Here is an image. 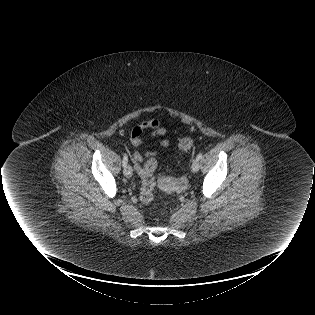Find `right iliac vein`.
I'll use <instances>...</instances> for the list:
<instances>
[{
    "label": "right iliac vein",
    "instance_id": "63e3f726",
    "mask_svg": "<svg viewBox=\"0 0 315 315\" xmlns=\"http://www.w3.org/2000/svg\"><path fill=\"white\" fill-rule=\"evenodd\" d=\"M132 174H133L132 167L130 165H126L124 168V175L127 178H130L132 176Z\"/></svg>",
    "mask_w": 315,
    "mask_h": 315
}]
</instances>
